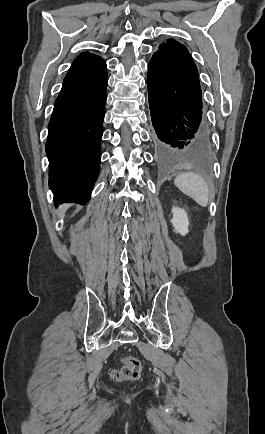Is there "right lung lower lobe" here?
<instances>
[{
    "mask_svg": "<svg viewBox=\"0 0 265 434\" xmlns=\"http://www.w3.org/2000/svg\"><path fill=\"white\" fill-rule=\"evenodd\" d=\"M106 87L105 61L81 53L64 78L48 125L46 153L55 205L90 199L99 174Z\"/></svg>",
    "mask_w": 265,
    "mask_h": 434,
    "instance_id": "obj_1",
    "label": "right lung lower lobe"
}]
</instances>
